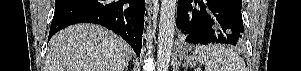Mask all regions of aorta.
<instances>
[{"mask_svg":"<svg viewBox=\"0 0 301 71\" xmlns=\"http://www.w3.org/2000/svg\"><path fill=\"white\" fill-rule=\"evenodd\" d=\"M176 0H161L157 71H168L175 32Z\"/></svg>","mask_w":301,"mask_h":71,"instance_id":"aorta-1","label":"aorta"}]
</instances>
